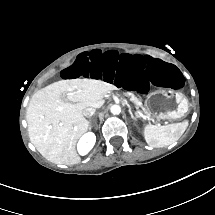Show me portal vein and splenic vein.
Wrapping results in <instances>:
<instances>
[{
  "label": "portal vein and splenic vein",
  "instance_id": "obj_1",
  "mask_svg": "<svg viewBox=\"0 0 215 215\" xmlns=\"http://www.w3.org/2000/svg\"><path fill=\"white\" fill-rule=\"evenodd\" d=\"M65 94H63L62 96H61V99H62V101H64V102H66L67 100H66V98H65ZM136 112H137V114L139 115V117H141L143 120H147V116L144 114V113H142L140 110H136Z\"/></svg>",
  "mask_w": 215,
  "mask_h": 215
}]
</instances>
